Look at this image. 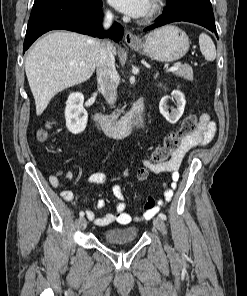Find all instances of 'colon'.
Listing matches in <instances>:
<instances>
[{
    "label": "colon",
    "mask_w": 247,
    "mask_h": 296,
    "mask_svg": "<svg viewBox=\"0 0 247 296\" xmlns=\"http://www.w3.org/2000/svg\"><path fill=\"white\" fill-rule=\"evenodd\" d=\"M198 121L194 114L188 115L182 121L180 127L169 133L162 144L157 146L151 154L150 162L153 164H161L166 162L170 156L180 147L182 141L193 135L197 131ZM47 134L41 132L39 134L40 140H45ZM148 175V168L142 167L138 170L137 177L139 180H144ZM179 178V177H178Z\"/></svg>",
    "instance_id": "5ec220e1"
}]
</instances>
